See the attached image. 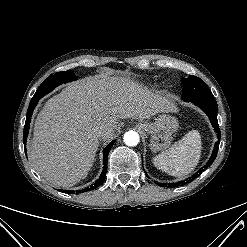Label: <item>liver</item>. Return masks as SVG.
I'll use <instances>...</instances> for the list:
<instances>
[{"label":"liver","mask_w":247,"mask_h":247,"mask_svg":"<svg viewBox=\"0 0 247 247\" xmlns=\"http://www.w3.org/2000/svg\"><path fill=\"white\" fill-rule=\"evenodd\" d=\"M176 111L173 102L129 78L96 76L71 83L35 120L31 164L53 186L71 187L87 177L99 140L114 135L118 119ZM100 127L107 130L102 138L94 134Z\"/></svg>","instance_id":"1"}]
</instances>
